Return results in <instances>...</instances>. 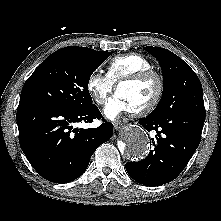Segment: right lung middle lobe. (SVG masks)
I'll return each instance as SVG.
<instances>
[{
    "label": "right lung middle lobe",
    "instance_id": "1",
    "mask_svg": "<svg viewBox=\"0 0 221 221\" xmlns=\"http://www.w3.org/2000/svg\"><path fill=\"white\" fill-rule=\"evenodd\" d=\"M109 55L110 52L86 55L59 49L49 55L28 78L20 101L41 102L69 109L92 106L88 82Z\"/></svg>",
    "mask_w": 221,
    "mask_h": 221
}]
</instances>
